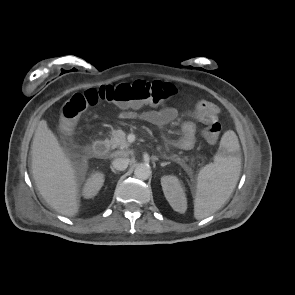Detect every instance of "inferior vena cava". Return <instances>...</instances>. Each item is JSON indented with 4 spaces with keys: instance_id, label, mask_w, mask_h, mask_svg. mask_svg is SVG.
Instances as JSON below:
<instances>
[{
    "instance_id": "inferior-vena-cava-1",
    "label": "inferior vena cava",
    "mask_w": 295,
    "mask_h": 295,
    "mask_svg": "<svg viewBox=\"0 0 295 295\" xmlns=\"http://www.w3.org/2000/svg\"><path fill=\"white\" fill-rule=\"evenodd\" d=\"M130 160L128 158H116L112 165L116 170L123 171L128 167Z\"/></svg>"
}]
</instances>
